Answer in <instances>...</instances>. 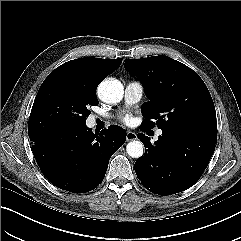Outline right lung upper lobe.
Listing matches in <instances>:
<instances>
[{
    "label": "right lung upper lobe",
    "instance_id": "cb5924a9",
    "mask_svg": "<svg viewBox=\"0 0 241 241\" xmlns=\"http://www.w3.org/2000/svg\"><path fill=\"white\" fill-rule=\"evenodd\" d=\"M122 59L86 57L68 61L57 67L45 80L55 77L69 79L86 95L96 97L99 83L121 65Z\"/></svg>",
    "mask_w": 241,
    "mask_h": 241
}]
</instances>
